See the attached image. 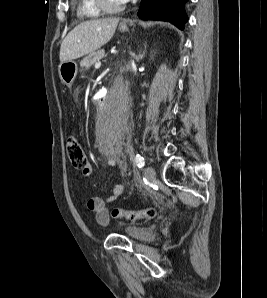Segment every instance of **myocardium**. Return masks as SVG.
I'll return each mask as SVG.
<instances>
[{
    "label": "myocardium",
    "instance_id": "f54148a6",
    "mask_svg": "<svg viewBox=\"0 0 267 298\" xmlns=\"http://www.w3.org/2000/svg\"><path fill=\"white\" fill-rule=\"evenodd\" d=\"M95 2L100 11L106 14L118 13L124 9L123 4L111 5L108 0H95Z\"/></svg>",
    "mask_w": 267,
    "mask_h": 298
}]
</instances>
